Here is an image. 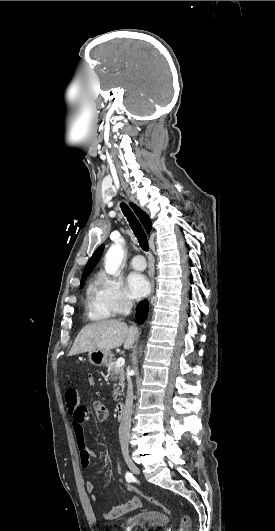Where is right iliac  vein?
Wrapping results in <instances>:
<instances>
[{
    "mask_svg": "<svg viewBox=\"0 0 275 531\" xmlns=\"http://www.w3.org/2000/svg\"><path fill=\"white\" fill-rule=\"evenodd\" d=\"M124 459H125V462H126L128 468L132 471V473H134V474H139L140 473L139 468L132 461L131 457L128 454H124Z\"/></svg>",
    "mask_w": 275,
    "mask_h": 531,
    "instance_id": "obj_1",
    "label": "right iliac vein"
}]
</instances>
